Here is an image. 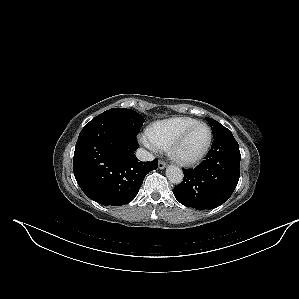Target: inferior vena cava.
<instances>
[{"instance_id":"602c4592","label":"inferior vena cava","mask_w":299,"mask_h":299,"mask_svg":"<svg viewBox=\"0 0 299 299\" xmlns=\"http://www.w3.org/2000/svg\"><path fill=\"white\" fill-rule=\"evenodd\" d=\"M136 156L140 161H152L154 159L153 154L141 148L136 151Z\"/></svg>"}]
</instances>
